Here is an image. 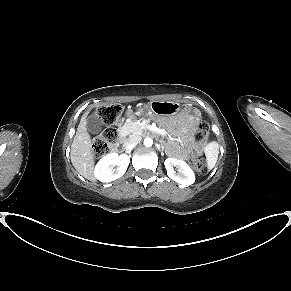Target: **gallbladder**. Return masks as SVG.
<instances>
[{
    "instance_id": "obj_1",
    "label": "gallbladder",
    "mask_w": 291,
    "mask_h": 291,
    "mask_svg": "<svg viewBox=\"0 0 291 291\" xmlns=\"http://www.w3.org/2000/svg\"><path fill=\"white\" fill-rule=\"evenodd\" d=\"M86 127L90 133L98 134L102 130V122L96 114H92L86 119Z\"/></svg>"
}]
</instances>
